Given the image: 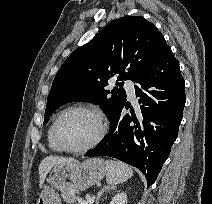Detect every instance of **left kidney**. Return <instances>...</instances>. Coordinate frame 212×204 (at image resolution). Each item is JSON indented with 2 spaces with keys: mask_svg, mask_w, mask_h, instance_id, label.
Returning <instances> with one entry per match:
<instances>
[{
  "mask_svg": "<svg viewBox=\"0 0 212 204\" xmlns=\"http://www.w3.org/2000/svg\"><path fill=\"white\" fill-rule=\"evenodd\" d=\"M110 204H127V195L126 193L122 192V193H118L116 194Z\"/></svg>",
  "mask_w": 212,
  "mask_h": 204,
  "instance_id": "obj_1",
  "label": "left kidney"
}]
</instances>
